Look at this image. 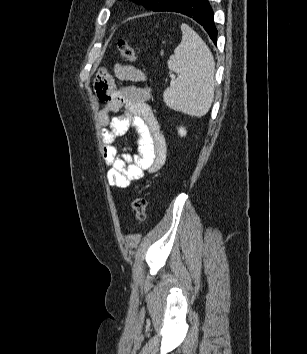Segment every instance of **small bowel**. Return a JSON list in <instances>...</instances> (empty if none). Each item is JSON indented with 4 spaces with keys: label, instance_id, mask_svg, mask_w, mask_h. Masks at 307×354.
I'll return each instance as SVG.
<instances>
[{
    "label": "small bowel",
    "instance_id": "c3829d8e",
    "mask_svg": "<svg viewBox=\"0 0 307 354\" xmlns=\"http://www.w3.org/2000/svg\"><path fill=\"white\" fill-rule=\"evenodd\" d=\"M114 75L120 81L145 83V74L129 65L117 64ZM96 90L101 101L108 103L98 112L102 127L103 158L109 167L107 180L111 186L127 188L131 182L153 173L165 163L167 146L148 100L146 85H119L105 73L96 78ZM112 116V114H117ZM130 129L135 131L137 154H120L117 138Z\"/></svg>",
    "mask_w": 307,
    "mask_h": 354
}]
</instances>
